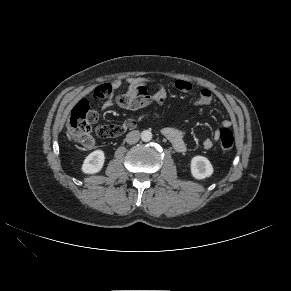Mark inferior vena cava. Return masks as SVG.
<instances>
[{"mask_svg":"<svg viewBox=\"0 0 291 291\" xmlns=\"http://www.w3.org/2000/svg\"><path fill=\"white\" fill-rule=\"evenodd\" d=\"M139 139H140V132L137 130H134L127 134L125 140L128 144H135L139 141Z\"/></svg>","mask_w":291,"mask_h":291,"instance_id":"inferior-vena-cava-1","label":"inferior vena cava"}]
</instances>
